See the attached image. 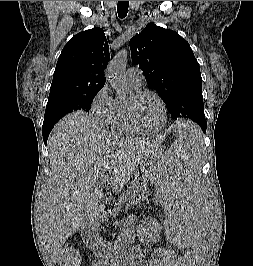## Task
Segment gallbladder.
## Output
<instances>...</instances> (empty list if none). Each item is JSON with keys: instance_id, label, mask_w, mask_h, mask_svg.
<instances>
[{"instance_id": "bac80fb5", "label": "gallbladder", "mask_w": 253, "mask_h": 266, "mask_svg": "<svg viewBox=\"0 0 253 266\" xmlns=\"http://www.w3.org/2000/svg\"><path fill=\"white\" fill-rule=\"evenodd\" d=\"M90 228H91V224H90V223L86 224V225L81 229V235L83 236L84 233H85V231H86L87 229H90Z\"/></svg>"}]
</instances>
